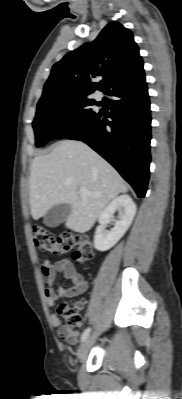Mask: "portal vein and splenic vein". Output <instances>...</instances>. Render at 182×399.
<instances>
[{"instance_id":"portal-vein-and-splenic-vein-1","label":"portal vein and splenic vein","mask_w":182,"mask_h":399,"mask_svg":"<svg viewBox=\"0 0 182 399\" xmlns=\"http://www.w3.org/2000/svg\"><path fill=\"white\" fill-rule=\"evenodd\" d=\"M79 194L80 195H87L88 191H87V189L85 187H80Z\"/></svg>"}]
</instances>
